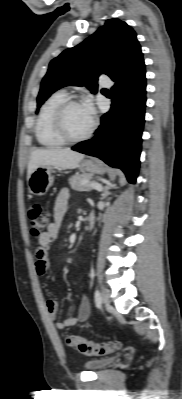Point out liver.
<instances>
[{
    "instance_id": "6515ba94",
    "label": "liver",
    "mask_w": 182,
    "mask_h": 399,
    "mask_svg": "<svg viewBox=\"0 0 182 399\" xmlns=\"http://www.w3.org/2000/svg\"><path fill=\"white\" fill-rule=\"evenodd\" d=\"M84 155L69 148L37 149L31 153L28 163L27 180L32 172L41 165H52L62 169H75L83 160Z\"/></svg>"
}]
</instances>
